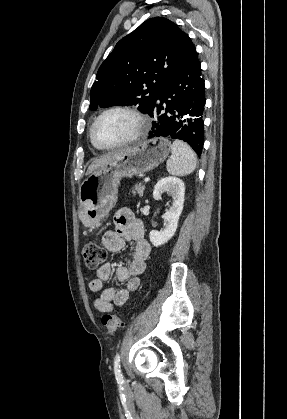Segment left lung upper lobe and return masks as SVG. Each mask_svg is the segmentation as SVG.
Returning <instances> with one entry per match:
<instances>
[{
	"label": "left lung upper lobe",
	"mask_w": 287,
	"mask_h": 419,
	"mask_svg": "<svg viewBox=\"0 0 287 419\" xmlns=\"http://www.w3.org/2000/svg\"><path fill=\"white\" fill-rule=\"evenodd\" d=\"M196 59L193 43L175 23L148 19L122 38L100 66L90 109L138 105L149 113L161 87Z\"/></svg>",
	"instance_id": "1"
}]
</instances>
